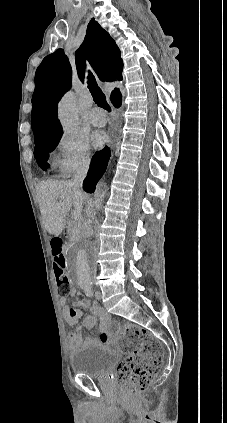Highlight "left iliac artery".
Here are the masks:
<instances>
[{"label":"left iliac artery","instance_id":"1","mask_svg":"<svg viewBox=\"0 0 227 423\" xmlns=\"http://www.w3.org/2000/svg\"><path fill=\"white\" fill-rule=\"evenodd\" d=\"M82 288L87 296H93L92 282L82 284Z\"/></svg>","mask_w":227,"mask_h":423}]
</instances>
